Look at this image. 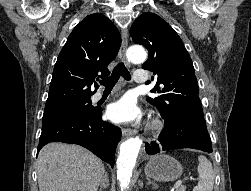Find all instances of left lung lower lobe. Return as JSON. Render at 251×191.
I'll return each mask as SVG.
<instances>
[{
    "label": "left lung lower lobe",
    "instance_id": "0a47b994",
    "mask_svg": "<svg viewBox=\"0 0 251 191\" xmlns=\"http://www.w3.org/2000/svg\"><path fill=\"white\" fill-rule=\"evenodd\" d=\"M158 140L159 143L152 142L151 145H146L149 155L162 150L181 148L198 149L208 153L213 151L204 115L196 112L181 114L171 123L165 124Z\"/></svg>",
    "mask_w": 251,
    "mask_h": 191
}]
</instances>
